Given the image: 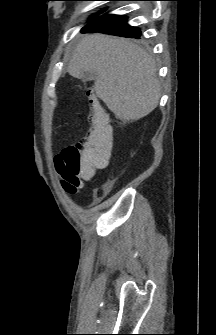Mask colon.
<instances>
[{
  "label": "colon",
  "mask_w": 216,
  "mask_h": 335,
  "mask_svg": "<svg viewBox=\"0 0 216 335\" xmlns=\"http://www.w3.org/2000/svg\"><path fill=\"white\" fill-rule=\"evenodd\" d=\"M91 99L93 96L88 90ZM88 130L84 139L63 149L56 156L55 163L63 188L68 193H76L83 185V178H101V172H110L113 144L112 127L107 116L95 101L87 117Z\"/></svg>",
  "instance_id": "colon-1"
}]
</instances>
